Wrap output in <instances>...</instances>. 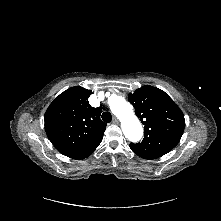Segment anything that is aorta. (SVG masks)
Segmentation results:
<instances>
[{
    "mask_svg": "<svg viewBox=\"0 0 221 221\" xmlns=\"http://www.w3.org/2000/svg\"><path fill=\"white\" fill-rule=\"evenodd\" d=\"M109 106L112 113L119 118L125 137L132 142L139 141L143 135V128L134 114L132 105L122 96L111 95Z\"/></svg>",
    "mask_w": 221,
    "mask_h": 221,
    "instance_id": "762f6f07",
    "label": "aorta"
}]
</instances>
